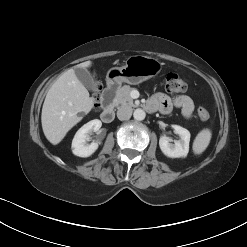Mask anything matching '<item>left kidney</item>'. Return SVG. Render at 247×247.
Returning <instances> with one entry per match:
<instances>
[{
	"instance_id": "5707ae66",
	"label": "left kidney",
	"mask_w": 247,
	"mask_h": 247,
	"mask_svg": "<svg viewBox=\"0 0 247 247\" xmlns=\"http://www.w3.org/2000/svg\"><path fill=\"white\" fill-rule=\"evenodd\" d=\"M174 131L180 136L174 144L169 143L170 139L166 136H161L159 146L164 155L170 158H185L189 152L190 132L178 125H173Z\"/></svg>"
}]
</instances>
